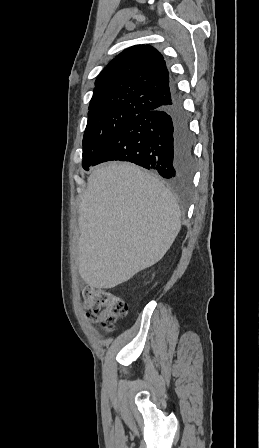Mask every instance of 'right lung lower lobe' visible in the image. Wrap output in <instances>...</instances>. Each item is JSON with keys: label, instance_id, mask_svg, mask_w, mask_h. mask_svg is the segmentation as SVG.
Instances as JSON below:
<instances>
[{"label": "right lung lower lobe", "instance_id": "right-lung-lower-lobe-1", "mask_svg": "<svg viewBox=\"0 0 259 448\" xmlns=\"http://www.w3.org/2000/svg\"><path fill=\"white\" fill-rule=\"evenodd\" d=\"M171 96L169 104L133 118L91 166L129 161L158 172L173 185H187L194 168L193 136L173 78Z\"/></svg>", "mask_w": 259, "mask_h": 448}]
</instances>
